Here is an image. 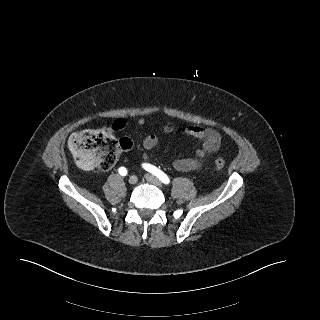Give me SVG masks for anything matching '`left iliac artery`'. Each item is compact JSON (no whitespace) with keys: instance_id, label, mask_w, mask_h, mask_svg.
<instances>
[{"instance_id":"44dca946","label":"left iliac artery","mask_w":320,"mask_h":320,"mask_svg":"<svg viewBox=\"0 0 320 320\" xmlns=\"http://www.w3.org/2000/svg\"><path fill=\"white\" fill-rule=\"evenodd\" d=\"M143 168L146 169L147 171L151 172L155 176H157L161 180V182H163L164 184L170 183L169 177L164 172H162L160 169L156 168L155 166L145 163V164H143Z\"/></svg>"}]
</instances>
